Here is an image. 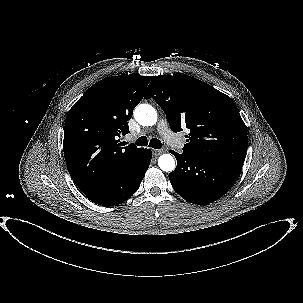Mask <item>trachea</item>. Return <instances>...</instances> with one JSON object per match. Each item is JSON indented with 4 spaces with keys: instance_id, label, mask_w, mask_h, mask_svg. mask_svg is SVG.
Returning <instances> with one entry per match:
<instances>
[{
    "instance_id": "trachea-1",
    "label": "trachea",
    "mask_w": 303,
    "mask_h": 303,
    "mask_svg": "<svg viewBox=\"0 0 303 303\" xmlns=\"http://www.w3.org/2000/svg\"><path fill=\"white\" fill-rule=\"evenodd\" d=\"M147 144H148V141L145 136L139 137L136 141V145H138V146H146ZM149 146L154 149H160L162 147V143L157 138H153L150 140Z\"/></svg>"
}]
</instances>
